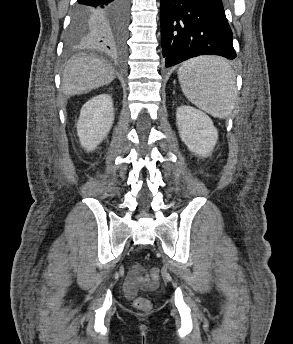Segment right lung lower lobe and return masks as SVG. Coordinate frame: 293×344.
<instances>
[{
	"label": "right lung lower lobe",
	"instance_id": "obj_1",
	"mask_svg": "<svg viewBox=\"0 0 293 344\" xmlns=\"http://www.w3.org/2000/svg\"><path fill=\"white\" fill-rule=\"evenodd\" d=\"M75 10L91 19L88 44L117 52L124 48L129 0H78Z\"/></svg>",
	"mask_w": 293,
	"mask_h": 344
}]
</instances>
